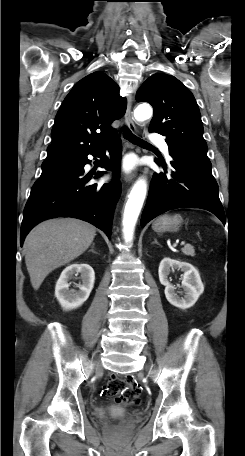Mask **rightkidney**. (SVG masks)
Listing matches in <instances>:
<instances>
[{"label": "right kidney", "instance_id": "right-kidney-1", "mask_svg": "<svg viewBox=\"0 0 245 456\" xmlns=\"http://www.w3.org/2000/svg\"><path fill=\"white\" fill-rule=\"evenodd\" d=\"M80 273L81 284L79 290L69 289V280ZM95 280L93 268L88 264H71L61 273L55 287V296L64 310L80 307L89 297Z\"/></svg>", "mask_w": 245, "mask_h": 456}]
</instances>
